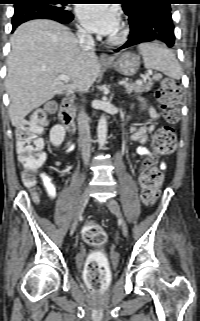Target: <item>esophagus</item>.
Instances as JSON below:
<instances>
[{"instance_id":"esophagus-1","label":"esophagus","mask_w":200,"mask_h":321,"mask_svg":"<svg viewBox=\"0 0 200 321\" xmlns=\"http://www.w3.org/2000/svg\"><path fill=\"white\" fill-rule=\"evenodd\" d=\"M100 61L101 62H110L111 61V58L108 54L106 53H101L100 55Z\"/></svg>"}]
</instances>
